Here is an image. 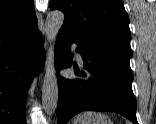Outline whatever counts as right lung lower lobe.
<instances>
[{
  "mask_svg": "<svg viewBox=\"0 0 156 124\" xmlns=\"http://www.w3.org/2000/svg\"><path fill=\"white\" fill-rule=\"evenodd\" d=\"M44 61L38 29L0 40V124H26V94Z\"/></svg>",
  "mask_w": 156,
  "mask_h": 124,
  "instance_id": "obj_1",
  "label": "right lung lower lobe"
}]
</instances>
